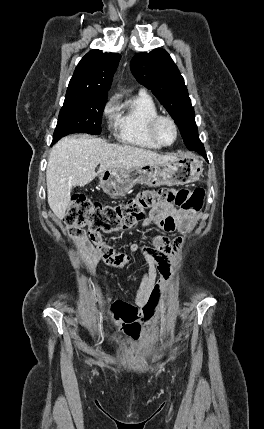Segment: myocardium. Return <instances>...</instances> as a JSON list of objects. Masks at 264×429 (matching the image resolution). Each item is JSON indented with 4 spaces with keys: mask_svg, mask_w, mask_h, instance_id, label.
Instances as JSON below:
<instances>
[{
    "mask_svg": "<svg viewBox=\"0 0 264 429\" xmlns=\"http://www.w3.org/2000/svg\"><path fill=\"white\" fill-rule=\"evenodd\" d=\"M161 121H168L174 129L175 136H174V139L171 143H164L158 136L157 129H158V125ZM148 131H149V135L153 139V141L156 142L161 147H168V146L173 145L177 141L178 135H179L178 125H177L176 121L174 120V118L169 116V115H164V114H157L150 120L149 125H148Z\"/></svg>",
    "mask_w": 264,
    "mask_h": 429,
    "instance_id": "1",
    "label": "myocardium"
}]
</instances>
